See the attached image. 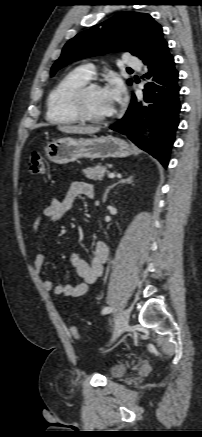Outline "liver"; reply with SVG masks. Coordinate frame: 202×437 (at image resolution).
<instances>
[{
  "mask_svg": "<svg viewBox=\"0 0 202 437\" xmlns=\"http://www.w3.org/2000/svg\"><path fill=\"white\" fill-rule=\"evenodd\" d=\"M58 130L68 134H93L99 132L100 128L84 127V126H71V125H59Z\"/></svg>",
  "mask_w": 202,
  "mask_h": 437,
  "instance_id": "6515ba94",
  "label": "liver"
}]
</instances>
